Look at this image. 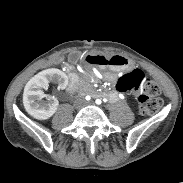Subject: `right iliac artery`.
Masks as SVG:
<instances>
[{"label": "right iliac artery", "instance_id": "obj_1", "mask_svg": "<svg viewBox=\"0 0 183 183\" xmlns=\"http://www.w3.org/2000/svg\"><path fill=\"white\" fill-rule=\"evenodd\" d=\"M85 99H86V100H90L91 97H90V96H86Z\"/></svg>", "mask_w": 183, "mask_h": 183}]
</instances>
